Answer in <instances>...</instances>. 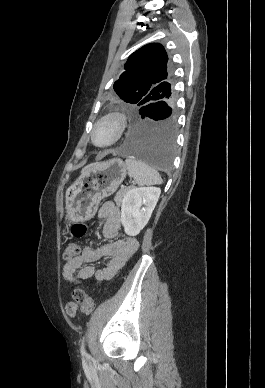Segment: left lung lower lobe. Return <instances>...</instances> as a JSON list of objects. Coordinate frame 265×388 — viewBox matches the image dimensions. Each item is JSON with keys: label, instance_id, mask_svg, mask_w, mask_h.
I'll return each instance as SVG.
<instances>
[{"label": "left lung lower lobe", "instance_id": "0a47b994", "mask_svg": "<svg viewBox=\"0 0 265 388\" xmlns=\"http://www.w3.org/2000/svg\"><path fill=\"white\" fill-rule=\"evenodd\" d=\"M175 100L162 101L132 110L120 150L158 169L171 168L175 148Z\"/></svg>", "mask_w": 265, "mask_h": 388}]
</instances>
